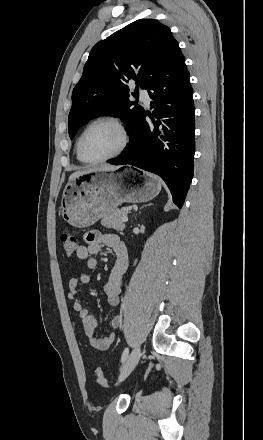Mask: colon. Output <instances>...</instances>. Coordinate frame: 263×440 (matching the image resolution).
Returning a JSON list of instances; mask_svg holds the SVG:
<instances>
[{"label":"colon","mask_w":263,"mask_h":440,"mask_svg":"<svg viewBox=\"0 0 263 440\" xmlns=\"http://www.w3.org/2000/svg\"><path fill=\"white\" fill-rule=\"evenodd\" d=\"M60 242L62 246V250L66 256L70 257L74 255L77 250L78 242L76 237L68 231H64L60 236ZM95 378L98 385L101 387H108L109 383L105 378L103 371L101 369H97L95 372Z\"/></svg>","instance_id":"5ec220e1"}]
</instances>
